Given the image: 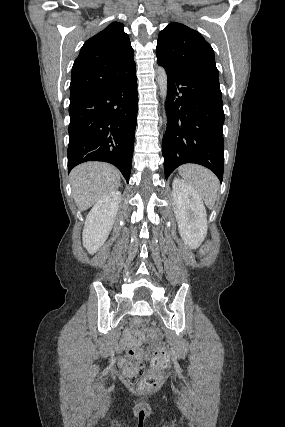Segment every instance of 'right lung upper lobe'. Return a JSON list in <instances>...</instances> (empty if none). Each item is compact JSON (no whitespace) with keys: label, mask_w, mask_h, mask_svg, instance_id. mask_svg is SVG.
<instances>
[{"label":"right lung upper lobe","mask_w":285,"mask_h":427,"mask_svg":"<svg viewBox=\"0 0 285 427\" xmlns=\"http://www.w3.org/2000/svg\"><path fill=\"white\" fill-rule=\"evenodd\" d=\"M123 28L113 22L85 42L72 68L70 99L121 84L135 75L134 50Z\"/></svg>","instance_id":"1"}]
</instances>
